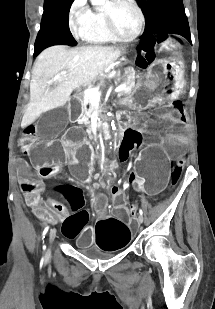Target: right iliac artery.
<instances>
[{"instance_id":"1","label":"right iliac artery","mask_w":215,"mask_h":309,"mask_svg":"<svg viewBox=\"0 0 215 309\" xmlns=\"http://www.w3.org/2000/svg\"><path fill=\"white\" fill-rule=\"evenodd\" d=\"M48 230H49V226H46L45 229H44V231H43V234H42V236H43L42 239L45 238V234L47 233ZM45 248H46V246L44 245V246H43V249H45Z\"/></svg>"}]
</instances>
